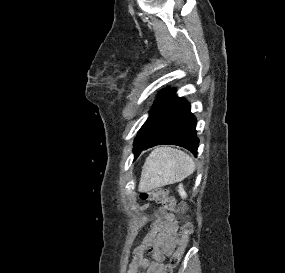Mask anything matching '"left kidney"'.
<instances>
[{"label": "left kidney", "instance_id": "left-kidney-1", "mask_svg": "<svg viewBox=\"0 0 285 273\" xmlns=\"http://www.w3.org/2000/svg\"><path fill=\"white\" fill-rule=\"evenodd\" d=\"M179 194L182 198H186V192L184 191L182 185L179 186Z\"/></svg>", "mask_w": 285, "mask_h": 273}]
</instances>
